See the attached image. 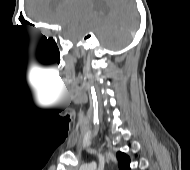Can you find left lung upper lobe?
Returning a JSON list of instances; mask_svg holds the SVG:
<instances>
[{"mask_svg":"<svg viewBox=\"0 0 190 170\" xmlns=\"http://www.w3.org/2000/svg\"><path fill=\"white\" fill-rule=\"evenodd\" d=\"M117 158L119 161V169L120 170H130V167H129L130 159L126 154H124L122 152H118Z\"/></svg>","mask_w":190,"mask_h":170,"instance_id":"left-lung-upper-lobe-1","label":"left lung upper lobe"}]
</instances>
